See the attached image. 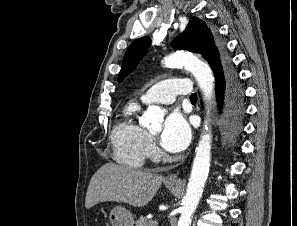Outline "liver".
<instances>
[{
  "label": "liver",
  "instance_id": "6515ba94",
  "mask_svg": "<svg viewBox=\"0 0 297 226\" xmlns=\"http://www.w3.org/2000/svg\"><path fill=\"white\" fill-rule=\"evenodd\" d=\"M163 177L129 167L106 163L90 180L85 207L104 201L123 202L134 207L147 205L159 190Z\"/></svg>",
  "mask_w": 297,
  "mask_h": 226
}]
</instances>
